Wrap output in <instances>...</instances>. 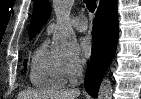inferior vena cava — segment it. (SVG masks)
<instances>
[{
	"mask_svg": "<svg viewBox=\"0 0 141 99\" xmlns=\"http://www.w3.org/2000/svg\"><path fill=\"white\" fill-rule=\"evenodd\" d=\"M77 68H78V75L80 77V82H82L83 81V68L81 65H79Z\"/></svg>",
	"mask_w": 141,
	"mask_h": 99,
	"instance_id": "602c4592",
	"label": "inferior vena cava"
}]
</instances>
